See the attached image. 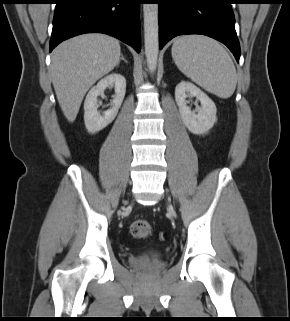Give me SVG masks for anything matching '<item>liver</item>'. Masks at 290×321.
I'll use <instances>...</instances> for the list:
<instances>
[{"label": "liver", "mask_w": 290, "mask_h": 321, "mask_svg": "<svg viewBox=\"0 0 290 321\" xmlns=\"http://www.w3.org/2000/svg\"><path fill=\"white\" fill-rule=\"evenodd\" d=\"M114 37L89 33L59 44L52 53L51 77L58 103L69 122L76 119L89 88L120 61Z\"/></svg>", "instance_id": "6515ba94"}]
</instances>
